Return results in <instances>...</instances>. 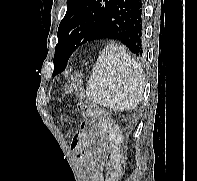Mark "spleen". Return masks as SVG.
I'll return each instance as SVG.
<instances>
[{"instance_id":"1","label":"spleen","mask_w":197,"mask_h":181,"mask_svg":"<svg viewBox=\"0 0 197 181\" xmlns=\"http://www.w3.org/2000/svg\"><path fill=\"white\" fill-rule=\"evenodd\" d=\"M144 87L141 65L121 45L110 43L92 68L86 95L98 105L125 111L141 102Z\"/></svg>"}]
</instances>
